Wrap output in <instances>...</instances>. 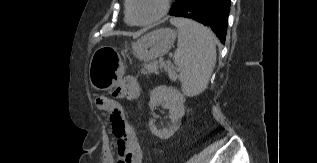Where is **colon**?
I'll list each match as a JSON object with an SVG mask.
<instances>
[{"label":"colon","instance_id":"5ec220e1","mask_svg":"<svg viewBox=\"0 0 317 163\" xmlns=\"http://www.w3.org/2000/svg\"><path fill=\"white\" fill-rule=\"evenodd\" d=\"M95 104L98 109L109 112L112 129L116 133L123 132L126 124L122 107L117 103H113L105 95H97L95 98Z\"/></svg>","mask_w":317,"mask_h":163}]
</instances>
